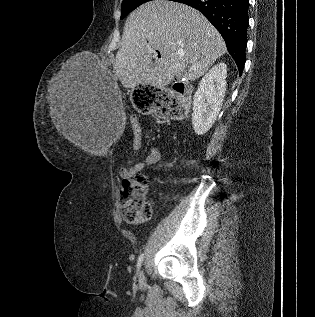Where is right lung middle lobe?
Wrapping results in <instances>:
<instances>
[{
  "label": "right lung middle lobe",
  "instance_id": "right-lung-middle-lobe-1",
  "mask_svg": "<svg viewBox=\"0 0 315 317\" xmlns=\"http://www.w3.org/2000/svg\"><path fill=\"white\" fill-rule=\"evenodd\" d=\"M148 1L152 0H123V3L121 5V19L125 18L135 8Z\"/></svg>",
  "mask_w": 315,
  "mask_h": 317
}]
</instances>
